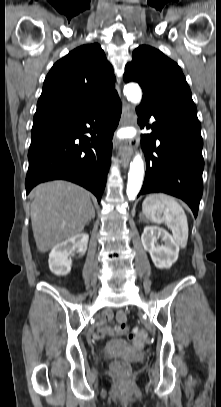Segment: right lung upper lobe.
<instances>
[{"label":"right lung upper lobe","instance_id":"right-lung-upper-lobe-1","mask_svg":"<svg viewBox=\"0 0 221 407\" xmlns=\"http://www.w3.org/2000/svg\"><path fill=\"white\" fill-rule=\"evenodd\" d=\"M114 81L112 66L99 44L77 47L46 76L33 127L83 115L118 98Z\"/></svg>","mask_w":221,"mask_h":407}]
</instances>
